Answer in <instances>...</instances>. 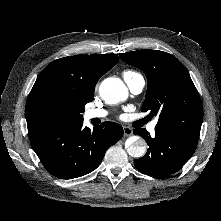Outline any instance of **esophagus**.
Here are the masks:
<instances>
[{"instance_id": "1", "label": "esophagus", "mask_w": 221, "mask_h": 221, "mask_svg": "<svg viewBox=\"0 0 221 221\" xmlns=\"http://www.w3.org/2000/svg\"><path fill=\"white\" fill-rule=\"evenodd\" d=\"M123 132H124V135L127 137L131 136L133 134L132 128H130L128 126L123 127Z\"/></svg>"}]
</instances>
